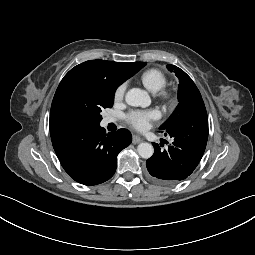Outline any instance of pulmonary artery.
Here are the masks:
<instances>
[{"label": "pulmonary artery", "instance_id": "obj_1", "mask_svg": "<svg viewBox=\"0 0 255 255\" xmlns=\"http://www.w3.org/2000/svg\"><path fill=\"white\" fill-rule=\"evenodd\" d=\"M105 122H106V123L113 122V119H112V118H107V119L105 120Z\"/></svg>", "mask_w": 255, "mask_h": 255}]
</instances>
